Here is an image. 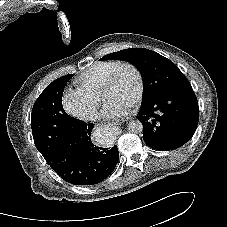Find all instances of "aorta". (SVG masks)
Returning <instances> with one entry per match:
<instances>
[{"mask_svg":"<svg viewBox=\"0 0 227 227\" xmlns=\"http://www.w3.org/2000/svg\"><path fill=\"white\" fill-rule=\"evenodd\" d=\"M128 131L133 134H139L143 131V125L139 120H132L128 123Z\"/></svg>","mask_w":227,"mask_h":227,"instance_id":"obj_1","label":"aorta"}]
</instances>
